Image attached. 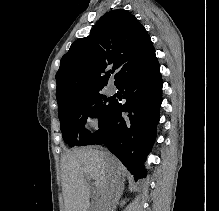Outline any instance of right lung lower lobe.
<instances>
[{
  "mask_svg": "<svg viewBox=\"0 0 219 211\" xmlns=\"http://www.w3.org/2000/svg\"><path fill=\"white\" fill-rule=\"evenodd\" d=\"M116 86L126 102L121 104L114 100L108 117L99 124L100 129L90 135L86 145L105 144L136 179L144 178L147 171L143 165L156 138L162 103L157 58L131 71ZM123 112L128 115L123 116Z\"/></svg>",
  "mask_w": 219,
  "mask_h": 211,
  "instance_id": "98d812e1",
  "label": "right lung lower lobe"
}]
</instances>
